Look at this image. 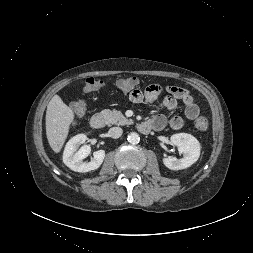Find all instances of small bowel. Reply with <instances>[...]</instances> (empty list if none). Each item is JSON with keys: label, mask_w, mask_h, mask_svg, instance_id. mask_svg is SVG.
<instances>
[{"label": "small bowel", "mask_w": 253, "mask_h": 253, "mask_svg": "<svg viewBox=\"0 0 253 253\" xmlns=\"http://www.w3.org/2000/svg\"><path fill=\"white\" fill-rule=\"evenodd\" d=\"M164 93H166V96L163 99V105L166 110H175L178 105V101H181L185 106L184 114L187 119L194 120L199 115V107L195 103L190 92L176 86L151 84L144 91L139 89L132 90L129 94V98L135 104L142 102L152 103ZM149 122L155 130H162L167 124H169L173 130H179L184 124L183 118L180 116H174L168 121L167 117L163 114L156 115Z\"/></svg>", "instance_id": "1"}]
</instances>
